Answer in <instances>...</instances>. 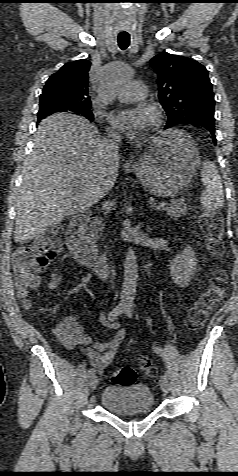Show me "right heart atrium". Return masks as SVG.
<instances>
[{
  "mask_svg": "<svg viewBox=\"0 0 238 476\" xmlns=\"http://www.w3.org/2000/svg\"><path fill=\"white\" fill-rule=\"evenodd\" d=\"M109 134H110V135H114L113 131H111V130L109 131Z\"/></svg>",
  "mask_w": 238,
  "mask_h": 476,
  "instance_id": "d8ad5b80",
  "label": "right heart atrium"
}]
</instances>
